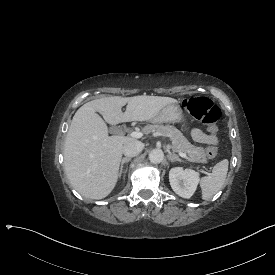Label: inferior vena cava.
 <instances>
[{"label":"inferior vena cava","mask_w":275,"mask_h":275,"mask_svg":"<svg viewBox=\"0 0 275 275\" xmlns=\"http://www.w3.org/2000/svg\"><path fill=\"white\" fill-rule=\"evenodd\" d=\"M143 149V144L139 141H130L123 145V154L127 157L137 156Z\"/></svg>","instance_id":"inferior-vena-cava-1"}]
</instances>
